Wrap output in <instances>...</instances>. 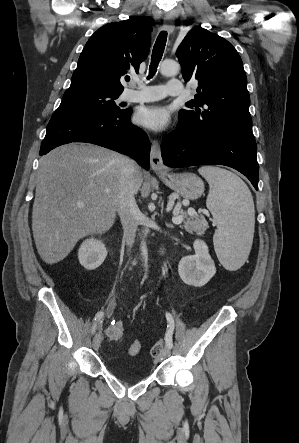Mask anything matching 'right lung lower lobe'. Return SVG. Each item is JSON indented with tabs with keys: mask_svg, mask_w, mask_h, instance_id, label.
Segmentation results:
<instances>
[{
	"mask_svg": "<svg viewBox=\"0 0 299 443\" xmlns=\"http://www.w3.org/2000/svg\"><path fill=\"white\" fill-rule=\"evenodd\" d=\"M132 109L101 114L58 108L47 126L39 155L71 142H86L109 148L150 167V142L146 133L130 122Z\"/></svg>",
	"mask_w": 299,
	"mask_h": 443,
	"instance_id": "1",
	"label": "right lung lower lobe"
}]
</instances>
